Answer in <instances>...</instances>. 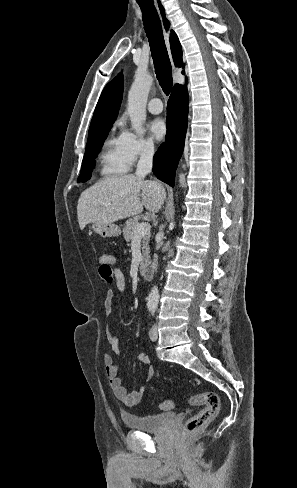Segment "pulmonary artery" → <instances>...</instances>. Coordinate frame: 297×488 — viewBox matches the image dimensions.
Returning a JSON list of instances; mask_svg holds the SVG:
<instances>
[{"mask_svg":"<svg viewBox=\"0 0 297 488\" xmlns=\"http://www.w3.org/2000/svg\"><path fill=\"white\" fill-rule=\"evenodd\" d=\"M147 109L152 114H159L163 111V105L159 98H152L148 104Z\"/></svg>","mask_w":297,"mask_h":488,"instance_id":"e3ab8cb5","label":"pulmonary artery"}]
</instances>
